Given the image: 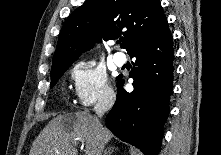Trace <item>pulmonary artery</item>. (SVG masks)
I'll return each instance as SVG.
<instances>
[{
	"mask_svg": "<svg viewBox=\"0 0 221 155\" xmlns=\"http://www.w3.org/2000/svg\"><path fill=\"white\" fill-rule=\"evenodd\" d=\"M113 60L117 66L121 67L125 65L127 59L124 53L116 52L113 56Z\"/></svg>",
	"mask_w": 221,
	"mask_h": 155,
	"instance_id": "1",
	"label": "pulmonary artery"
}]
</instances>
